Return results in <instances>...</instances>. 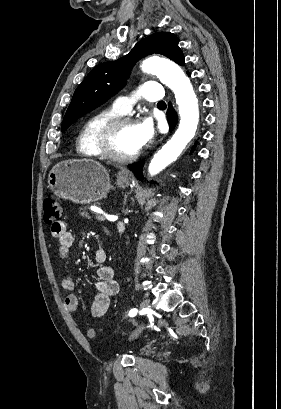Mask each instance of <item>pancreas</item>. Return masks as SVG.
<instances>
[{"mask_svg":"<svg viewBox=\"0 0 281 409\" xmlns=\"http://www.w3.org/2000/svg\"><path fill=\"white\" fill-rule=\"evenodd\" d=\"M80 211H81L80 215H82V217H87V219H91L89 213H87V207H83V209H80ZM97 219H98V216H97Z\"/></svg>","mask_w":281,"mask_h":409,"instance_id":"cf45deb5","label":"pancreas"}]
</instances>
